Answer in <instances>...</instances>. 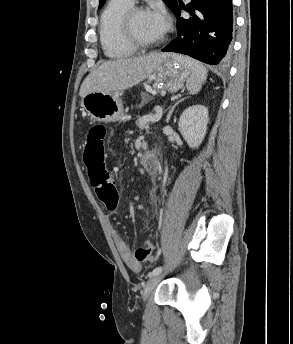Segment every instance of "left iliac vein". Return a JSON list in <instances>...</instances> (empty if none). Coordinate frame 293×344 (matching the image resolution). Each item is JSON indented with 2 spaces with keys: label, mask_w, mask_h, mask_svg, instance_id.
I'll return each instance as SVG.
<instances>
[{
  "label": "left iliac vein",
  "mask_w": 293,
  "mask_h": 344,
  "mask_svg": "<svg viewBox=\"0 0 293 344\" xmlns=\"http://www.w3.org/2000/svg\"><path fill=\"white\" fill-rule=\"evenodd\" d=\"M162 276L160 274L151 276L149 280L146 282L143 288V294H142V299L143 301H146L154 288L158 285L160 282Z\"/></svg>",
  "instance_id": "obj_1"
}]
</instances>
